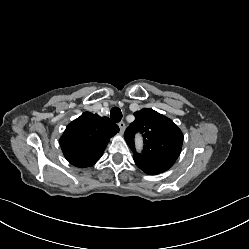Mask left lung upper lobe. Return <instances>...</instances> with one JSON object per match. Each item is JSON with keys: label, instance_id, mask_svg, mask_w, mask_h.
Masks as SVG:
<instances>
[{"label": "left lung upper lobe", "instance_id": "1", "mask_svg": "<svg viewBox=\"0 0 249 249\" xmlns=\"http://www.w3.org/2000/svg\"><path fill=\"white\" fill-rule=\"evenodd\" d=\"M135 121L126 129L124 137L133 151L136 165L150 175L168 170L180 155L183 134L176 124L164 115L144 108L134 113ZM144 137V151L136 153L134 135Z\"/></svg>", "mask_w": 249, "mask_h": 249}]
</instances>
